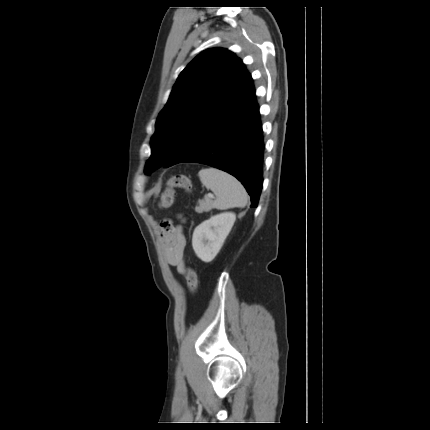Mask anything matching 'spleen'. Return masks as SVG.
Instances as JSON below:
<instances>
[{
    "mask_svg": "<svg viewBox=\"0 0 430 430\" xmlns=\"http://www.w3.org/2000/svg\"><path fill=\"white\" fill-rule=\"evenodd\" d=\"M202 184L216 195L212 205L219 210L245 207L248 194L234 176L216 168L201 169L198 173Z\"/></svg>",
    "mask_w": 430,
    "mask_h": 430,
    "instance_id": "1",
    "label": "spleen"
}]
</instances>
